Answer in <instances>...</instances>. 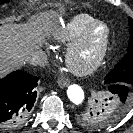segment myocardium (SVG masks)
<instances>
[{"instance_id": "f54148a6", "label": "myocardium", "mask_w": 133, "mask_h": 133, "mask_svg": "<svg viewBox=\"0 0 133 133\" xmlns=\"http://www.w3.org/2000/svg\"><path fill=\"white\" fill-rule=\"evenodd\" d=\"M97 26H102L104 28V35L101 44L89 61L81 62L78 60V56L85 47L90 33ZM110 37V27L104 21L96 19L87 25L81 34L69 44L66 50L65 62L69 70L78 76H89L96 72L107 56L110 45Z\"/></svg>"}]
</instances>
